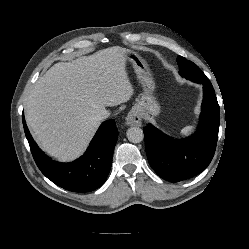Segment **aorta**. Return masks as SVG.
Instances as JSON below:
<instances>
[{
    "label": "aorta",
    "instance_id": "aorta-1",
    "mask_svg": "<svg viewBox=\"0 0 249 249\" xmlns=\"http://www.w3.org/2000/svg\"><path fill=\"white\" fill-rule=\"evenodd\" d=\"M127 138L132 143H140L144 139V134L139 127H130L127 130Z\"/></svg>",
    "mask_w": 249,
    "mask_h": 249
}]
</instances>
